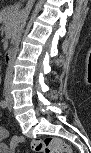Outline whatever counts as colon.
Listing matches in <instances>:
<instances>
[{
	"label": "colon",
	"mask_w": 91,
	"mask_h": 153,
	"mask_svg": "<svg viewBox=\"0 0 91 153\" xmlns=\"http://www.w3.org/2000/svg\"><path fill=\"white\" fill-rule=\"evenodd\" d=\"M23 144L22 139H18L15 147ZM30 149L36 153H72V149L61 138L34 139L30 143Z\"/></svg>",
	"instance_id": "5ec220e1"
}]
</instances>
